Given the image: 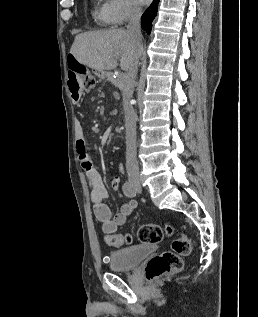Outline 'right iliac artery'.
Masks as SVG:
<instances>
[{"instance_id":"right-iliac-artery-1","label":"right iliac artery","mask_w":258,"mask_h":317,"mask_svg":"<svg viewBox=\"0 0 258 317\" xmlns=\"http://www.w3.org/2000/svg\"><path fill=\"white\" fill-rule=\"evenodd\" d=\"M123 192L127 197H135L136 196V190L132 184H130L129 181H126L123 185Z\"/></svg>"}]
</instances>
